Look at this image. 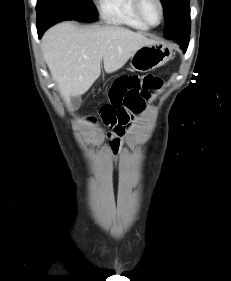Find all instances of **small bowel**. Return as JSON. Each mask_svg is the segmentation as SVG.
I'll list each match as a JSON object with an SVG mask.
<instances>
[{
	"instance_id": "small-bowel-1",
	"label": "small bowel",
	"mask_w": 231,
	"mask_h": 281,
	"mask_svg": "<svg viewBox=\"0 0 231 281\" xmlns=\"http://www.w3.org/2000/svg\"><path fill=\"white\" fill-rule=\"evenodd\" d=\"M162 85V79L150 73L123 74L114 79L108 92L109 102L99 109L100 119L112 128L108 137L111 138L113 153L119 151L120 138L125 129L145 110L152 92Z\"/></svg>"
}]
</instances>
